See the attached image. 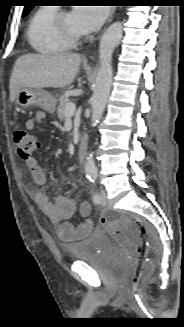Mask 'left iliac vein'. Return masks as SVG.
<instances>
[{"instance_id": "1", "label": "left iliac vein", "mask_w": 184, "mask_h": 327, "mask_svg": "<svg viewBox=\"0 0 184 327\" xmlns=\"http://www.w3.org/2000/svg\"><path fill=\"white\" fill-rule=\"evenodd\" d=\"M100 203L102 205H106L107 204V194L105 190H101L100 191Z\"/></svg>"}]
</instances>
